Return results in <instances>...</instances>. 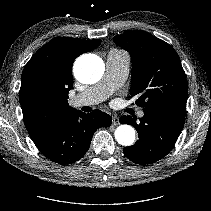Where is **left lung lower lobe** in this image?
Masks as SVG:
<instances>
[{"mask_svg":"<svg viewBox=\"0 0 211 211\" xmlns=\"http://www.w3.org/2000/svg\"><path fill=\"white\" fill-rule=\"evenodd\" d=\"M140 123L136 117L124 115L120 123L133 125L139 140L123 149L124 155L140 165L154 163L165 157L174 147L184 125L185 105L161 104L143 110Z\"/></svg>","mask_w":211,"mask_h":211,"instance_id":"obj_1","label":"left lung lower lobe"}]
</instances>
